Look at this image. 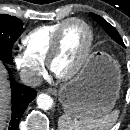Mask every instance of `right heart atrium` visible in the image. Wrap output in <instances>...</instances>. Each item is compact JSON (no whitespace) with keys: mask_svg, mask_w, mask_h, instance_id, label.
<instances>
[{"mask_svg":"<svg viewBox=\"0 0 130 130\" xmlns=\"http://www.w3.org/2000/svg\"><path fill=\"white\" fill-rule=\"evenodd\" d=\"M13 63L22 80L30 86L38 85L45 74L44 62L33 58L27 51H16L13 55Z\"/></svg>","mask_w":130,"mask_h":130,"instance_id":"right-heart-atrium-1","label":"right heart atrium"}]
</instances>
